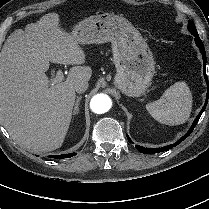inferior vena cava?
Here are the masks:
<instances>
[{
	"label": "inferior vena cava",
	"mask_w": 209,
	"mask_h": 209,
	"mask_svg": "<svg viewBox=\"0 0 209 209\" xmlns=\"http://www.w3.org/2000/svg\"><path fill=\"white\" fill-rule=\"evenodd\" d=\"M87 89H88V82L86 81L79 82L75 86V91L79 94L85 92Z\"/></svg>",
	"instance_id": "obj_1"
}]
</instances>
